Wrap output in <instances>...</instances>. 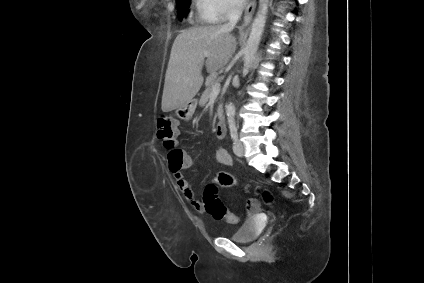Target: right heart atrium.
Listing matches in <instances>:
<instances>
[{
	"instance_id": "1",
	"label": "right heart atrium",
	"mask_w": 424,
	"mask_h": 283,
	"mask_svg": "<svg viewBox=\"0 0 424 283\" xmlns=\"http://www.w3.org/2000/svg\"><path fill=\"white\" fill-rule=\"evenodd\" d=\"M200 17L204 20H223L235 14L239 0H195Z\"/></svg>"
}]
</instances>
